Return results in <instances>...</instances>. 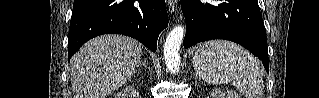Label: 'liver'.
I'll return each instance as SVG.
<instances>
[{
	"label": "liver",
	"instance_id": "obj_1",
	"mask_svg": "<svg viewBox=\"0 0 319 98\" xmlns=\"http://www.w3.org/2000/svg\"><path fill=\"white\" fill-rule=\"evenodd\" d=\"M142 45L133 38L103 35L85 43L70 61L74 98H107L140 64Z\"/></svg>",
	"mask_w": 319,
	"mask_h": 98
}]
</instances>
